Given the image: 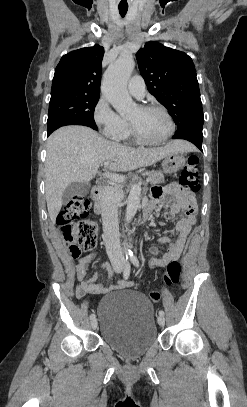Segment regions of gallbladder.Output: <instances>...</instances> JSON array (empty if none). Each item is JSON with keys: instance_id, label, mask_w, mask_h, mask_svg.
<instances>
[{"instance_id": "obj_1", "label": "gallbladder", "mask_w": 247, "mask_h": 407, "mask_svg": "<svg viewBox=\"0 0 247 407\" xmlns=\"http://www.w3.org/2000/svg\"><path fill=\"white\" fill-rule=\"evenodd\" d=\"M91 185L88 182L80 183V182H73L71 183L63 192L62 195V203L67 204L70 200H72L76 196H85Z\"/></svg>"}]
</instances>
